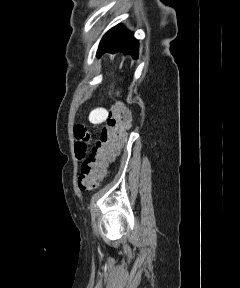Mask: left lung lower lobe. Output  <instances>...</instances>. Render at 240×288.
<instances>
[{
	"label": "left lung lower lobe",
	"instance_id": "obj_1",
	"mask_svg": "<svg viewBox=\"0 0 240 288\" xmlns=\"http://www.w3.org/2000/svg\"><path fill=\"white\" fill-rule=\"evenodd\" d=\"M119 51L124 55L131 54L132 57L138 55V41L134 38L133 33L121 25L113 27L103 36L97 55L100 57L104 52L116 53Z\"/></svg>",
	"mask_w": 240,
	"mask_h": 288
}]
</instances>
